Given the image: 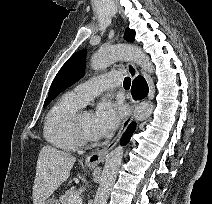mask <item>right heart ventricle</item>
Here are the masks:
<instances>
[{
    "instance_id": "e07e8e85",
    "label": "right heart ventricle",
    "mask_w": 212,
    "mask_h": 204,
    "mask_svg": "<svg viewBox=\"0 0 212 204\" xmlns=\"http://www.w3.org/2000/svg\"><path fill=\"white\" fill-rule=\"evenodd\" d=\"M83 107L71 93L62 95L49 110L43 127L46 141L63 151L73 152L79 147L72 129L75 114Z\"/></svg>"
}]
</instances>
